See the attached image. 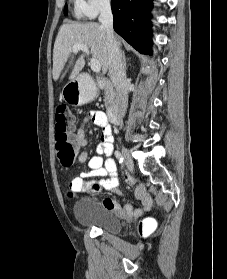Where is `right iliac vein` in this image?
<instances>
[{
  "label": "right iliac vein",
  "instance_id": "1",
  "mask_svg": "<svg viewBox=\"0 0 227 279\" xmlns=\"http://www.w3.org/2000/svg\"><path fill=\"white\" fill-rule=\"evenodd\" d=\"M121 149L126 165L128 166V168L133 169L134 163L129 150L123 145H121Z\"/></svg>",
  "mask_w": 227,
  "mask_h": 279
}]
</instances>
